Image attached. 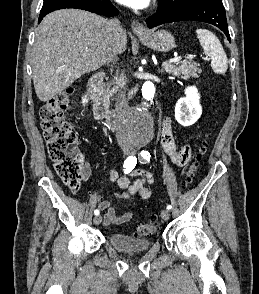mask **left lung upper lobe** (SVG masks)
Here are the masks:
<instances>
[{
    "label": "left lung upper lobe",
    "instance_id": "obj_1",
    "mask_svg": "<svg viewBox=\"0 0 259 294\" xmlns=\"http://www.w3.org/2000/svg\"><path fill=\"white\" fill-rule=\"evenodd\" d=\"M190 1L192 0H159L158 10L159 11L169 10L174 7L188 3Z\"/></svg>",
    "mask_w": 259,
    "mask_h": 294
}]
</instances>
